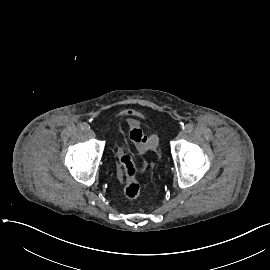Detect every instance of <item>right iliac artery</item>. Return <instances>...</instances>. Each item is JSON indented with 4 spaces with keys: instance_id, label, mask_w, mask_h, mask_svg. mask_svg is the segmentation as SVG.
<instances>
[{
    "instance_id": "right-iliac-artery-1",
    "label": "right iliac artery",
    "mask_w": 270,
    "mask_h": 270,
    "mask_svg": "<svg viewBox=\"0 0 270 270\" xmlns=\"http://www.w3.org/2000/svg\"><path fill=\"white\" fill-rule=\"evenodd\" d=\"M81 129L86 132L90 129V126L87 123H83L81 125Z\"/></svg>"
}]
</instances>
